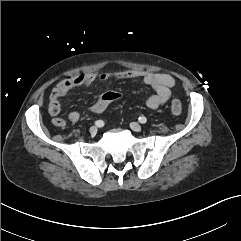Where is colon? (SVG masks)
<instances>
[{"mask_svg": "<svg viewBox=\"0 0 241 241\" xmlns=\"http://www.w3.org/2000/svg\"><path fill=\"white\" fill-rule=\"evenodd\" d=\"M102 98L108 102L116 101L121 98V93L119 91L109 90L103 93ZM170 108L175 115H179L182 112V104L177 99L172 100Z\"/></svg>", "mask_w": 241, "mask_h": 241, "instance_id": "colon-1", "label": "colon"}]
</instances>
